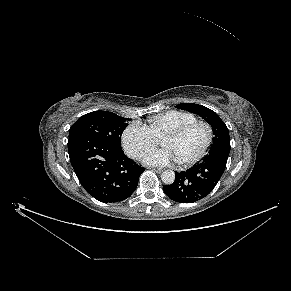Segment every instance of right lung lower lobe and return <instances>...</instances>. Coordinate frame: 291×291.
I'll return each instance as SVG.
<instances>
[{"label":"right lung lower lobe","instance_id":"right-lung-lower-lobe-1","mask_svg":"<svg viewBox=\"0 0 291 291\" xmlns=\"http://www.w3.org/2000/svg\"><path fill=\"white\" fill-rule=\"evenodd\" d=\"M72 167L84 189L104 203L127 199L136 190L143 167L117 146L86 133L69 137Z\"/></svg>","mask_w":291,"mask_h":291}]
</instances>
